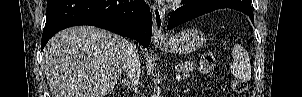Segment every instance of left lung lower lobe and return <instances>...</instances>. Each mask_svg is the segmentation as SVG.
<instances>
[{
  "mask_svg": "<svg viewBox=\"0 0 302 97\" xmlns=\"http://www.w3.org/2000/svg\"><path fill=\"white\" fill-rule=\"evenodd\" d=\"M221 8H232L243 12L254 22L250 0H187L184 6L171 14L167 29L170 30L198 16Z\"/></svg>",
  "mask_w": 302,
  "mask_h": 97,
  "instance_id": "0a47b994",
  "label": "left lung lower lobe"
}]
</instances>
